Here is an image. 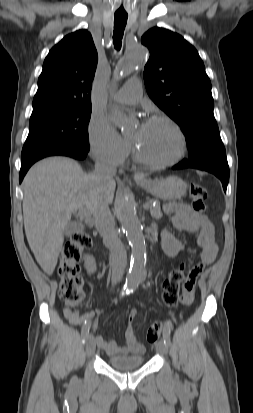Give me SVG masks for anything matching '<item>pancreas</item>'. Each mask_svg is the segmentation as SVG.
<instances>
[{
  "mask_svg": "<svg viewBox=\"0 0 253 413\" xmlns=\"http://www.w3.org/2000/svg\"><path fill=\"white\" fill-rule=\"evenodd\" d=\"M153 202H156V206H152ZM147 203L150 206L151 216L155 219H160L162 217V213H161V209H160V205H159L158 201L148 200Z\"/></svg>",
  "mask_w": 253,
  "mask_h": 413,
  "instance_id": "obj_1",
  "label": "pancreas"
}]
</instances>
